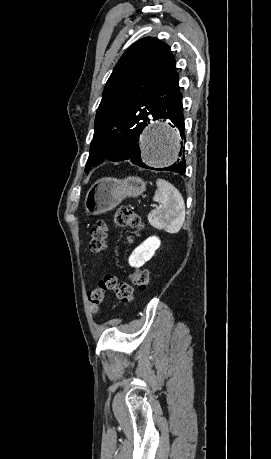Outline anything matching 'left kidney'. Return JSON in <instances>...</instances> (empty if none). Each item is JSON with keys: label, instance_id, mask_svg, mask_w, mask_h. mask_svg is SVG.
Returning <instances> with one entry per match:
<instances>
[{"label": "left kidney", "instance_id": "obj_1", "mask_svg": "<svg viewBox=\"0 0 271 459\" xmlns=\"http://www.w3.org/2000/svg\"><path fill=\"white\" fill-rule=\"evenodd\" d=\"M160 243L161 239L156 237V235L147 237L141 245H138V247L132 251L129 257L130 265H133V267H140V265H143L145 261H148V259L154 255L155 249H158Z\"/></svg>", "mask_w": 271, "mask_h": 459}]
</instances>
